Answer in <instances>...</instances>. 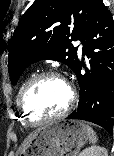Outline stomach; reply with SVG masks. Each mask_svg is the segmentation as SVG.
<instances>
[{"mask_svg":"<svg viewBox=\"0 0 114 156\" xmlns=\"http://www.w3.org/2000/svg\"><path fill=\"white\" fill-rule=\"evenodd\" d=\"M87 140V126L81 121L50 123L36 132L21 155L74 156Z\"/></svg>","mask_w":114,"mask_h":156,"instance_id":"0dacf381","label":"stomach"}]
</instances>
